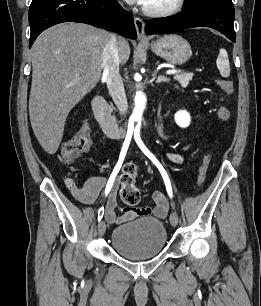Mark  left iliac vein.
I'll list each match as a JSON object with an SVG mask.
<instances>
[{
	"mask_svg": "<svg viewBox=\"0 0 261 306\" xmlns=\"http://www.w3.org/2000/svg\"><path fill=\"white\" fill-rule=\"evenodd\" d=\"M170 223L174 227L178 224V214L175 211L170 215Z\"/></svg>",
	"mask_w": 261,
	"mask_h": 306,
	"instance_id": "left-iliac-vein-1",
	"label": "left iliac vein"
}]
</instances>
